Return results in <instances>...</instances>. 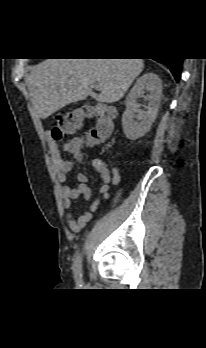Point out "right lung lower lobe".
<instances>
[{"instance_id":"1","label":"right lung lower lobe","mask_w":206,"mask_h":348,"mask_svg":"<svg viewBox=\"0 0 206 348\" xmlns=\"http://www.w3.org/2000/svg\"><path fill=\"white\" fill-rule=\"evenodd\" d=\"M160 63L166 64L170 71L172 72L174 78L178 82L181 76V68H182V62L183 59L181 58H165L161 60H156Z\"/></svg>"}]
</instances>
